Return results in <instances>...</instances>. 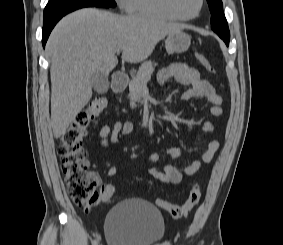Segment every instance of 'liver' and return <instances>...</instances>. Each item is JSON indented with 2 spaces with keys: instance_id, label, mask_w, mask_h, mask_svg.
<instances>
[{
  "instance_id": "obj_1",
  "label": "liver",
  "mask_w": 283,
  "mask_h": 245,
  "mask_svg": "<svg viewBox=\"0 0 283 245\" xmlns=\"http://www.w3.org/2000/svg\"><path fill=\"white\" fill-rule=\"evenodd\" d=\"M183 25L139 15L120 16L85 8L65 16L46 45L51 61V126L55 138L92 97L90 78L108 75L117 65L115 53L130 63L146 60L157 43Z\"/></svg>"
}]
</instances>
